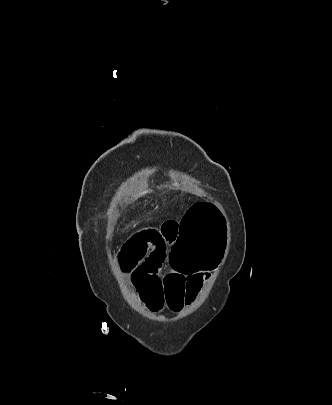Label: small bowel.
Wrapping results in <instances>:
<instances>
[{"instance_id":"small-bowel-1","label":"small bowel","mask_w":332,"mask_h":405,"mask_svg":"<svg viewBox=\"0 0 332 405\" xmlns=\"http://www.w3.org/2000/svg\"><path fill=\"white\" fill-rule=\"evenodd\" d=\"M176 221L133 233L115 254L121 272L127 276L149 315H164L165 307L180 311L196 298L208 275H180L169 264L175 248Z\"/></svg>"}]
</instances>
